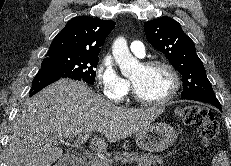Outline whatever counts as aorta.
<instances>
[{"label": "aorta", "instance_id": "1", "mask_svg": "<svg viewBox=\"0 0 231 166\" xmlns=\"http://www.w3.org/2000/svg\"><path fill=\"white\" fill-rule=\"evenodd\" d=\"M112 53L116 63L120 67L121 73L125 77H129L141 67V63L130 53L127 41L123 37H119L114 41Z\"/></svg>", "mask_w": 231, "mask_h": 166}]
</instances>
